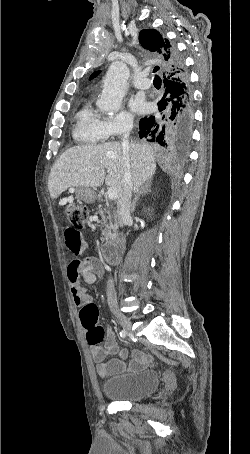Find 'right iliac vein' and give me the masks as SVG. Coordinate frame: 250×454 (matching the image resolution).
<instances>
[{
	"label": "right iliac vein",
	"mask_w": 250,
	"mask_h": 454,
	"mask_svg": "<svg viewBox=\"0 0 250 454\" xmlns=\"http://www.w3.org/2000/svg\"><path fill=\"white\" fill-rule=\"evenodd\" d=\"M114 315L121 326L126 330L129 335H133L132 326L129 318L118 310H114Z\"/></svg>",
	"instance_id": "obj_1"
}]
</instances>
